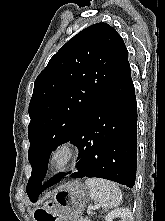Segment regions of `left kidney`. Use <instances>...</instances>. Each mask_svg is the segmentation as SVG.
<instances>
[{
    "mask_svg": "<svg viewBox=\"0 0 165 221\" xmlns=\"http://www.w3.org/2000/svg\"><path fill=\"white\" fill-rule=\"evenodd\" d=\"M116 218H120L121 221H133V215L129 208H117L107 214L105 221H113Z\"/></svg>",
    "mask_w": 165,
    "mask_h": 221,
    "instance_id": "1",
    "label": "left kidney"
}]
</instances>
